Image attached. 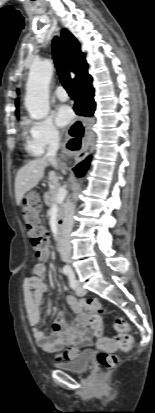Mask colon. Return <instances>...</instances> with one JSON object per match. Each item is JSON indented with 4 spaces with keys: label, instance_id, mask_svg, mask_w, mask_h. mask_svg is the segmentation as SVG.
<instances>
[{
    "label": "colon",
    "instance_id": "1",
    "mask_svg": "<svg viewBox=\"0 0 155 413\" xmlns=\"http://www.w3.org/2000/svg\"><path fill=\"white\" fill-rule=\"evenodd\" d=\"M41 199V192H25L22 199L23 216L28 235L39 259L45 258L49 251V236L41 223L40 209L37 207L40 205ZM86 308L91 315L102 318L103 307L98 299L91 298L86 300ZM115 328L119 333L116 346L122 352H129L133 345V338L129 334V324L124 319L118 318ZM98 347L101 351L97 354V362L106 369L114 368L118 363V357L111 352L115 344H112L110 339L102 337L98 341Z\"/></svg>",
    "mask_w": 155,
    "mask_h": 413
}]
</instances>
